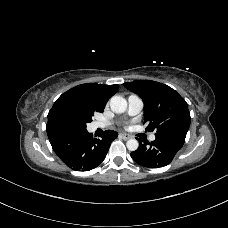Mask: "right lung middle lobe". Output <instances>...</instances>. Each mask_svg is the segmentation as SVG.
<instances>
[{
  "instance_id": "1",
  "label": "right lung middle lobe",
  "mask_w": 228,
  "mask_h": 228,
  "mask_svg": "<svg viewBox=\"0 0 228 228\" xmlns=\"http://www.w3.org/2000/svg\"><path fill=\"white\" fill-rule=\"evenodd\" d=\"M93 115V110L69 101L54 108L52 120L57 127L86 130V124L92 121Z\"/></svg>"
}]
</instances>
